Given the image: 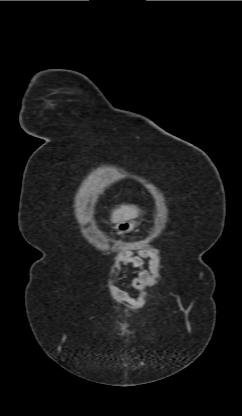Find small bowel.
Instances as JSON below:
<instances>
[{"instance_id":"c3829d8e","label":"small bowel","mask_w":242,"mask_h":416,"mask_svg":"<svg viewBox=\"0 0 242 416\" xmlns=\"http://www.w3.org/2000/svg\"><path fill=\"white\" fill-rule=\"evenodd\" d=\"M149 257L150 252L144 249H139L136 252L127 250L120 254L118 258L119 264L126 268L133 267L138 269L137 275L131 280V286L133 288L141 289L150 282L151 273L145 268V259ZM118 297L120 300L132 306H137L143 303V299L141 297H132L123 291L118 293Z\"/></svg>"}]
</instances>
